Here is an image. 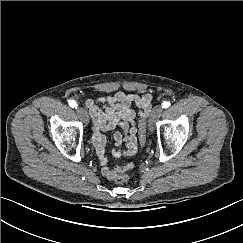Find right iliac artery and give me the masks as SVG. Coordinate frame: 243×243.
Listing matches in <instances>:
<instances>
[{
  "mask_svg": "<svg viewBox=\"0 0 243 243\" xmlns=\"http://www.w3.org/2000/svg\"><path fill=\"white\" fill-rule=\"evenodd\" d=\"M69 105H70L72 108H74V107L77 106V104H76V102H75L74 100H70V101H69Z\"/></svg>",
  "mask_w": 243,
  "mask_h": 243,
  "instance_id": "82829eb1",
  "label": "right iliac artery"
}]
</instances>
